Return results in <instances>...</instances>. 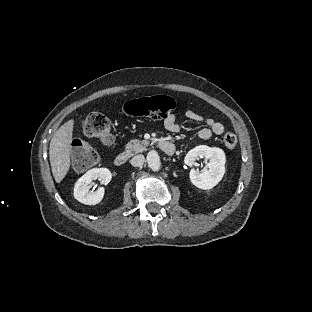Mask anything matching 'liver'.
I'll return each instance as SVG.
<instances>
[{
  "label": "liver",
  "mask_w": 312,
  "mask_h": 312,
  "mask_svg": "<svg viewBox=\"0 0 312 312\" xmlns=\"http://www.w3.org/2000/svg\"><path fill=\"white\" fill-rule=\"evenodd\" d=\"M75 118L69 119L55 132L50 142L49 158L52 174L56 183H60L71 166L72 140Z\"/></svg>",
  "instance_id": "6515ba94"
}]
</instances>
